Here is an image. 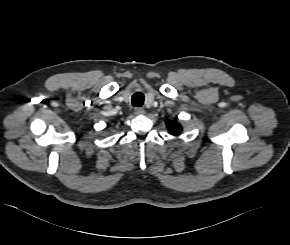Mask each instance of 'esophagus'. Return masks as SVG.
<instances>
[{"mask_svg":"<svg viewBox=\"0 0 290 245\" xmlns=\"http://www.w3.org/2000/svg\"><path fill=\"white\" fill-rule=\"evenodd\" d=\"M144 112H145L144 109L141 108V107H136V108H134V113H135L136 115H143Z\"/></svg>","mask_w":290,"mask_h":245,"instance_id":"esophagus-1","label":"esophagus"}]
</instances>
